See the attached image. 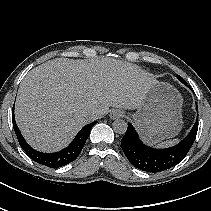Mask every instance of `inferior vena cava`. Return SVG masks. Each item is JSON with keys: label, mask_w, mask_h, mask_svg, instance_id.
<instances>
[{"label": "inferior vena cava", "mask_w": 211, "mask_h": 211, "mask_svg": "<svg viewBox=\"0 0 211 211\" xmlns=\"http://www.w3.org/2000/svg\"><path fill=\"white\" fill-rule=\"evenodd\" d=\"M90 117H91L93 120H95V119H98V118L100 117V114H99V112H92V113L90 114Z\"/></svg>", "instance_id": "obj_1"}]
</instances>
